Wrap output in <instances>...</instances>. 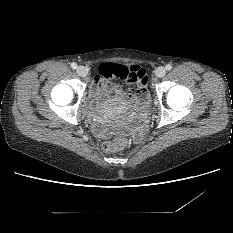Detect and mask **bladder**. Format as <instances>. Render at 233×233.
<instances>
[{"mask_svg": "<svg viewBox=\"0 0 233 233\" xmlns=\"http://www.w3.org/2000/svg\"><path fill=\"white\" fill-rule=\"evenodd\" d=\"M151 102V97L148 91H145L144 95H143V103H142V107L148 105Z\"/></svg>", "mask_w": 233, "mask_h": 233, "instance_id": "obj_1", "label": "bladder"}]
</instances>
